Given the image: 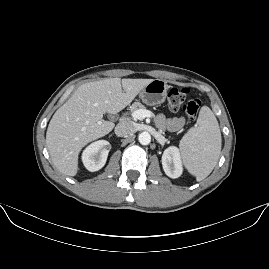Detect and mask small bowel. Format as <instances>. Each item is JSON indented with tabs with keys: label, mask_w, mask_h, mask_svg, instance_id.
Masks as SVG:
<instances>
[{
	"label": "small bowel",
	"mask_w": 269,
	"mask_h": 269,
	"mask_svg": "<svg viewBox=\"0 0 269 269\" xmlns=\"http://www.w3.org/2000/svg\"><path fill=\"white\" fill-rule=\"evenodd\" d=\"M157 122L160 126L169 125L172 129L177 130L180 129L184 125V118L178 117L173 119L170 122H167L163 115H159L157 117Z\"/></svg>",
	"instance_id": "small-bowel-1"
}]
</instances>
